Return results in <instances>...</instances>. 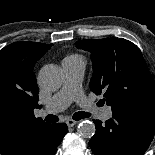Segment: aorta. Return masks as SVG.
Instances as JSON below:
<instances>
[{
	"mask_svg": "<svg viewBox=\"0 0 155 155\" xmlns=\"http://www.w3.org/2000/svg\"><path fill=\"white\" fill-rule=\"evenodd\" d=\"M38 81L43 88L49 91L57 90L62 85L63 72L54 64L45 65L39 71ZM78 131L81 136L90 139L95 134L96 128L93 122L84 120L79 123Z\"/></svg>",
	"mask_w": 155,
	"mask_h": 155,
	"instance_id": "obj_1",
	"label": "aorta"
}]
</instances>
